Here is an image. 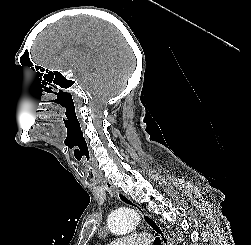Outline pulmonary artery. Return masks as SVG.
Listing matches in <instances>:
<instances>
[{"instance_id": "e3ab8cb5", "label": "pulmonary artery", "mask_w": 251, "mask_h": 245, "mask_svg": "<svg viewBox=\"0 0 251 245\" xmlns=\"http://www.w3.org/2000/svg\"><path fill=\"white\" fill-rule=\"evenodd\" d=\"M149 243V234L142 233L133 235L121 240H117L110 245H147Z\"/></svg>"}]
</instances>
